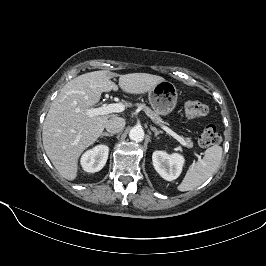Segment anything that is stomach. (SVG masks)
Here are the masks:
<instances>
[{
	"label": "stomach",
	"mask_w": 266,
	"mask_h": 266,
	"mask_svg": "<svg viewBox=\"0 0 266 266\" xmlns=\"http://www.w3.org/2000/svg\"><path fill=\"white\" fill-rule=\"evenodd\" d=\"M177 96L175 85L167 80L158 83L148 93L151 107L159 115H167L174 110Z\"/></svg>",
	"instance_id": "obj_1"
}]
</instances>
